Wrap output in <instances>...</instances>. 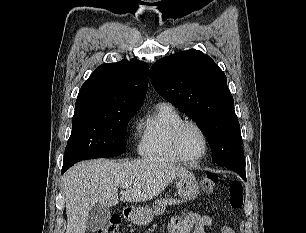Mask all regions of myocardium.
<instances>
[{
    "label": "myocardium",
    "instance_id": "obj_1",
    "mask_svg": "<svg viewBox=\"0 0 306 233\" xmlns=\"http://www.w3.org/2000/svg\"><path fill=\"white\" fill-rule=\"evenodd\" d=\"M187 127H194L196 128L200 134L203 137L204 140V152L196 157V158H188L185 156V154L182 151L181 148V135L183 133V131L187 128ZM209 138L208 135L206 133V131L202 128L201 125H199L197 122L195 121H183L181 122L175 129L174 134H173V148L175 153L177 154V156L184 162H188V163H194V162H198L201 161L202 159H204L208 152H209Z\"/></svg>",
    "mask_w": 306,
    "mask_h": 233
}]
</instances>
